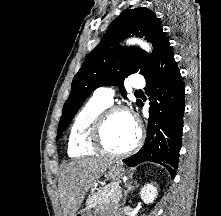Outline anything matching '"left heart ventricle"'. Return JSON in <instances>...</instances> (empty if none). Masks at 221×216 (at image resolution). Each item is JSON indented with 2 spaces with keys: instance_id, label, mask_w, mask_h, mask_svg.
I'll return each instance as SVG.
<instances>
[{
  "instance_id": "obj_1",
  "label": "left heart ventricle",
  "mask_w": 221,
  "mask_h": 216,
  "mask_svg": "<svg viewBox=\"0 0 221 216\" xmlns=\"http://www.w3.org/2000/svg\"><path fill=\"white\" fill-rule=\"evenodd\" d=\"M136 136V128L132 119L124 113H117L108 120L103 140L109 149L121 151L128 148L135 141Z\"/></svg>"
}]
</instances>
